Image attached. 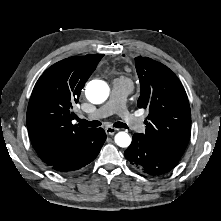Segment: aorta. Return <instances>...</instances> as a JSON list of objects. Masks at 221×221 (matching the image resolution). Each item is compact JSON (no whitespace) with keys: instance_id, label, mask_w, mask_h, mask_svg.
<instances>
[{"instance_id":"1","label":"aorta","mask_w":221,"mask_h":221,"mask_svg":"<svg viewBox=\"0 0 221 221\" xmlns=\"http://www.w3.org/2000/svg\"><path fill=\"white\" fill-rule=\"evenodd\" d=\"M109 92V86L102 80L90 81L85 90L87 99L93 104L103 103ZM115 143L120 147H128L131 144V137L126 132H119L115 135Z\"/></svg>"}]
</instances>
